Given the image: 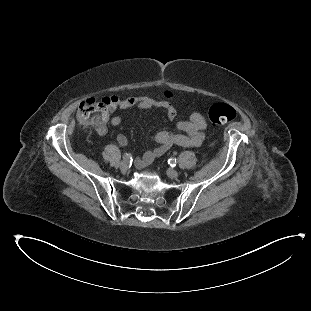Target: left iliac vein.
<instances>
[{
	"label": "left iliac vein",
	"mask_w": 311,
	"mask_h": 311,
	"mask_svg": "<svg viewBox=\"0 0 311 311\" xmlns=\"http://www.w3.org/2000/svg\"><path fill=\"white\" fill-rule=\"evenodd\" d=\"M167 175L170 177V178H177L178 177V171H176L175 169H168L167 170Z\"/></svg>",
	"instance_id": "1"
}]
</instances>
